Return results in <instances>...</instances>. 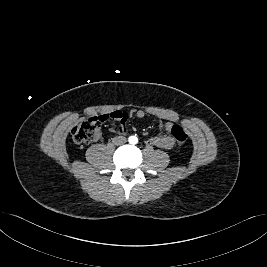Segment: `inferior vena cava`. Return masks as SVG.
I'll use <instances>...</instances> for the list:
<instances>
[{"mask_svg": "<svg viewBox=\"0 0 267 267\" xmlns=\"http://www.w3.org/2000/svg\"><path fill=\"white\" fill-rule=\"evenodd\" d=\"M115 140L118 145H122L126 143V138L123 136L116 137Z\"/></svg>", "mask_w": 267, "mask_h": 267, "instance_id": "inferior-vena-cava-1", "label": "inferior vena cava"}]
</instances>
